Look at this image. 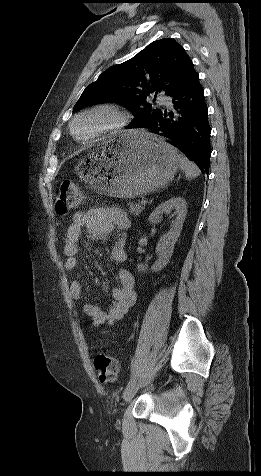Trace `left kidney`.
I'll list each match as a JSON object with an SVG mask.
<instances>
[{
    "instance_id": "5707ae66",
    "label": "left kidney",
    "mask_w": 261,
    "mask_h": 476,
    "mask_svg": "<svg viewBox=\"0 0 261 476\" xmlns=\"http://www.w3.org/2000/svg\"><path fill=\"white\" fill-rule=\"evenodd\" d=\"M172 210H175L174 213L176 218L174 221H172L170 230L160 237L158 241L156 247L158 259L151 267V269L155 272L162 270L168 264L173 254L174 245L180 236L183 223L186 218L187 203L182 197H172L156 207L149 216V221L151 223L157 224L160 222L161 215L163 213L169 214ZM137 269L138 271L145 272L147 267L142 264H138Z\"/></svg>"
}]
</instances>
